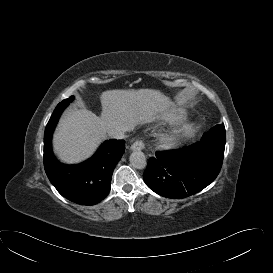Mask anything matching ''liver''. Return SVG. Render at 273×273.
I'll return each instance as SVG.
<instances>
[{
  "mask_svg": "<svg viewBox=\"0 0 273 273\" xmlns=\"http://www.w3.org/2000/svg\"><path fill=\"white\" fill-rule=\"evenodd\" d=\"M100 98V117L79 109L68 111L61 118L53 147L62 161L72 163L88 158L109 130L130 131L138 124L154 121L170 106L168 97L152 89L107 90Z\"/></svg>",
  "mask_w": 273,
  "mask_h": 273,
  "instance_id": "obj_1",
  "label": "liver"
}]
</instances>
